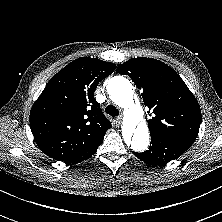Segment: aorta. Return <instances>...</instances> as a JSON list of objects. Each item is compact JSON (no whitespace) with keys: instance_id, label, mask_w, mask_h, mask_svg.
Here are the masks:
<instances>
[{"instance_id":"obj_1","label":"aorta","mask_w":222,"mask_h":222,"mask_svg":"<svg viewBox=\"0 0 222 222\" xmlns=\"http://www.w3.org/2000/svg\"><path fill=\"white\" fill-rule=\"evenodd\" d=\"M107 90L111 100L124 109L122 135L125 142L131 145L134 151H145L150 135L147 123L142 117V108L134 102L132 84L128 79L116 76L109 82Z\"/></svg>"}]
</instances>
